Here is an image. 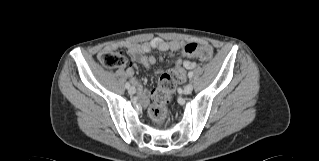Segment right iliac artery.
I'll list each match as a JSON object with an SVG mask.
<instances>
[{"mask_svg": "<svg viewBox=\"0 0 319 161\" xmlns=\"http://www.w3.org/2000/svg\"><path fill=\"white\" fill-rule=\"evenodd\" d=\"M125 86H126V88H129L130 84L127 82Z\"/></svg>", "mask_w": 319, "mask_h": 161, "instance_id": "1", "label": "right iliac artery"}]
</instances>
